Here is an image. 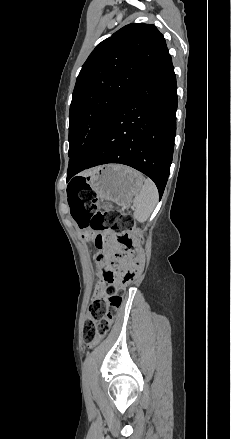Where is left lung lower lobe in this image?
Returning <instances> with one entry per match:
<instances>
[{
    "label": "left lung lower lobe",
    "instance_id": "1",
    "mask_svg": "<svg viewBox=\"0 0 231 439\" xmlns=\"http://www.w3.org/2000/svg\"><path fill=\"white\" fill-rule=\"evenodd\" d=\"M177 85L170 54L123 98L98 133L69 160L67 177L101 164L131 166L156 184L161 198L176 134Z\"/></svg>",
    "mask_w": 231,
    "mask_h": 439
}]
</instances>
